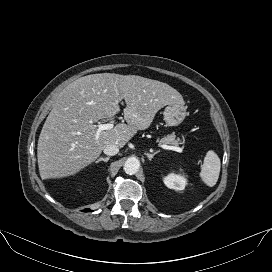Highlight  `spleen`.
I'll return each instance as SVG.
<instances>
[{"label": "spleen", "instance_id": "spleen-1", "mask_svg": "<svg viewBox=\"0 0 272 272\" xmlns=\"http://www.w3.org/2000/svg\"><path fill=\"white\" fill-rule=\"evenodd\" d=\"M220 165L221 163L218 155L212 150L208 151L200 172V177L207 186L213 187L217 183Z\"/></svg>", "mask_w": 272, "mask_h": 272}]
</instances>
